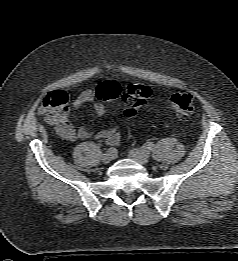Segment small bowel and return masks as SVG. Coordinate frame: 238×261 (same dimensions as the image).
<instances>
[{"label":"small bowel","mask_w":238,"mask_h":261,"mask_svg":"<svg viewBox=\"0 0 238 261\" xmlns=\"http://www.w3.org/2000/svg\"><path fill=\"white\" fill-rule=\"evenodd\" d=\"M93 102V108L98 117L105 115V106L100 101H95L94 92L90 89L79 93L72 102L74 108H78L85 103ZM58 134L66 140L76 141L79 139H88L93 135V130L89 126H80L75 128L69 121L68 116H65L58 123L53 124ZM96 140L107 145L116 146L121 141V134L116 126H111L108 129L95 135Z\"/></svg>","instance_id":"obj_1"}]
</instances>
